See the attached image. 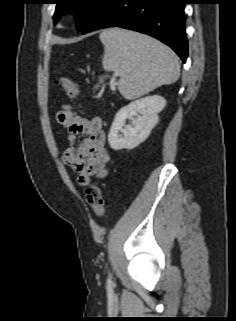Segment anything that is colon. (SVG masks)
Returning a JSON list of instances; mask_svg holds the SVG:
<instances>
[{
	"mask_svg": "<svg viewBox=\"0 0 236 321\" xmlns=\"http://www.w3.org/2000/svg\"><path fill=\"white\" fill-rule=\"evenodd\" d=\"M55 84L57 86H60L71 99H75L77 97V84L70 78L61 75L55 80ZM85 199L88 205L91 207L95 216L101 219L105 211L104 198L101 187L94 183L89 184L85 190Z\"/></svg>",
	"mask_w": 236,
	"mask_h": 321,
	"instance_id": "5ec220e1",
	"label": "colon"
}]
</instances>
